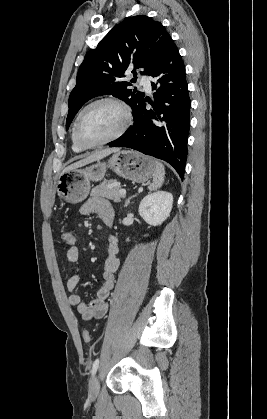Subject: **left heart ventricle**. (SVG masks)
<instances>
[{"instance_id":"1","label":"left heart ventricle","mask_w":267,"mask_h":419,"mask_svg":"<svg viewBox=\"0 0 267 419\" xmlns=\"http://www.w3.org/2000/svg\"><path fill=\"white\" fill-rule=\"evenodd\" d=\"M122 121V112L116 105L96 104L84 112L79 123V136L87 144L97 143L112 135Z\"/></svg>"}]
</instances>
